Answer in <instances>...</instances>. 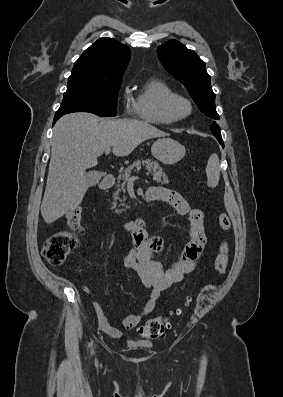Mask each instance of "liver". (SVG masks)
<instances>
[{
  "instance_id": "obj_1",
  "label": "liver",
  "mask_w": 283,
  "mask_h": 397,
  "mask_svg": "<svg viewBox=\"0 0 283 397\" xmlns=\"http://www.w3.org/2000/svg\"><path fill=\"white\" fill-rule=\"evenodd\" d=\"M167 133L146 121L100 119L77 112L63 116L53 129L51 159L41 214L47 224L77 208L90 183L86 169L98 164L107 148L116 156H128L142 142Z\"/></svg>"
}]
</instances>
